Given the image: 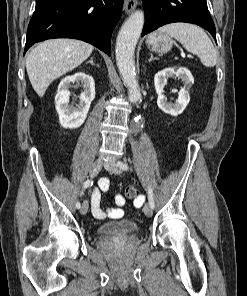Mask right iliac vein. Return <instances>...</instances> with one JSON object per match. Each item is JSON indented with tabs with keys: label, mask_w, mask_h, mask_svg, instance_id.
<instances>
[{
	"label": "right iliac vein",
	"mask_w": 247,
	"mask_h": 296,
	"mask_svg": "<svg viewBox=\"0 0 247 296\" xmlns=\"http://www.w3.org/2000/svg\"><path fill=\"white\" fill-rule=\"evenodd\" d=\"M101 167H102V160L101 159L96 160L90 168V176L92 178L95 177L101 170ZM88 208H89L88 202L84 201L80 209L81 214L85 215L88 212Z\"/></svg>",
	"instance_id": "right-iliac-vein-1"
}]
</instances>
